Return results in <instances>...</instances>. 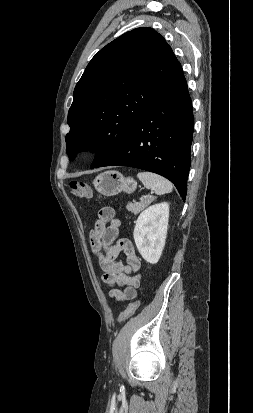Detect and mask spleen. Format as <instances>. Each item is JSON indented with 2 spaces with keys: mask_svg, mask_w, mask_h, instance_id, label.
<instances>
[{
  "mask_svg": "<svg viewBox=\"0 0 253 413\" xmlns=\"http://www.w3.org/2000/svg\"><path fill=\"white\" fill-rule=\"evenodd\" d=\"M138 179L147 189H153L157 195L172 192L173 186L166 178L152 172H139Z\"/></svg>",
  "mask_w": 253,
  "mask_h": 413,
  "instance_id": "3e777b00",
  "label": "spleen"
}]
</instances>
